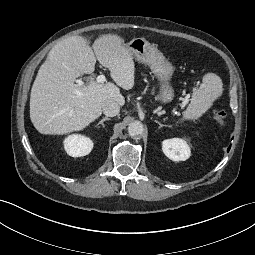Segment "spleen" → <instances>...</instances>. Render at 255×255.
Returning a JSON list of instances; mask_svg holds the SVG:
<instances>
[{
    "label": "spleen",
    "instance_id": "1",
    "mask_svg": "<svg viewBox=\"0 0 255 255\" xmlns=\"http://www.w3.org/2000/svg\"><path fill=\"white\" fill-rule=\"evenodd\" d=\"M222 92L223 84L220 77L214 73L206 74L201 86L193 92L190 104L183 112V120H194L201 117L221 96Z\"/></svg>",
    "mask_w": 255,
    "mask_h": 255
}]
</instances>
